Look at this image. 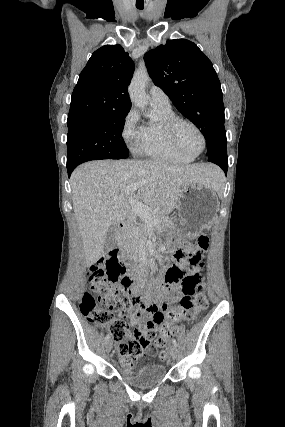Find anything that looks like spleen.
Segmentation results:
<instances>
[{"label":"spleen","instance_id":"1","mask_svg":"<svg viewBox=\"0 0 285 427\" xmlns=\"http://www.w3.org/2000/svg\"><path fill=\"white\" fill-rule=\"evenodd\" d=\"M217 182H218L216 186L217 191H222L224 188V177L222 173L219 174Z\"/></svg>","mask_w":285,"mask_h":427}]
</instances>
